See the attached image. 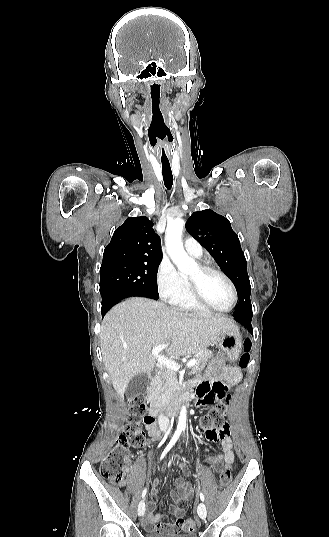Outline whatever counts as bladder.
<instances>
[{
  "mask_svg": "<svg viewBox=\"0 0 329 537\" xmlns=\"http://www.w3.org/2000/svg\"><path fill=\"white\" fill-rule=\"evenodd\" d=\"M145 537H197V535L195 533L172 534V533L147 532Z\"/></svg>",
  "mask_w": 329,
  "mask_h": 537,
  "instance_id": "1",
  "label": "bladder"
}]
</instances>
